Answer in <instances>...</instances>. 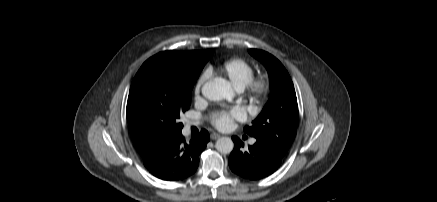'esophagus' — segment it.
<instances>
[{
  "instance_id": "1",
  "label": "esophagus",
  "mask_w": 437,
  "mask_h": 202,
  "mask_svg": "<svg viewBox=\"0 0 437 202\" xmlns=\"http://www.w3.org/2000/svg\"><path fill=\"white\" fill-rule=\"evenodd\" d=\"M210 137H211L212 140H216V139H219L221 136L218 133H212L210 135Z\"/></svg>"
}]
</instances>
